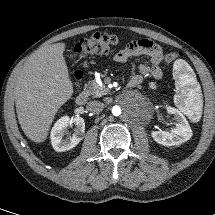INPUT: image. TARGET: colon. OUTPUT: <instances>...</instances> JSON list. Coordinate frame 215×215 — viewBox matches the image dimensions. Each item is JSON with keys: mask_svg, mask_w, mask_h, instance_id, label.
<instances>
[{"mask_svg": "<svg viewBox=\"0 0 215 215\" xmlns=\"http://www.w3.org/2000/svg\"><path fill=\"white\" fill-rule=\"evenodd\" d=\"M119 42L118 37L114 35L97 32L92 34L90 37L79 40L74 47V52L80 56L106 54L113 50ZM181 56L182 54L179 52H171L166 54L165 61L170 63ZM76 78L77 81H79L81 79V75L76 74Z\"/></svg>", "mask_w": 215, "mask_h": 215, "instance_id": "obj_1", "label": "colon"}]
</instances>
